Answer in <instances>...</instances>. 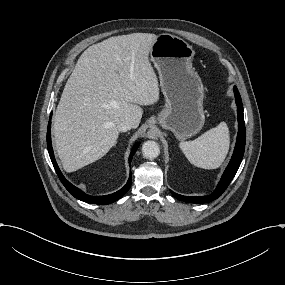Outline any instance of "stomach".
<instances>
[{
	"mask_svg": "<svg viewBox=\"0 0 285 285\" xmlns=\"http://www.w3.org/2000/svg\"><path fill=\"white\" fill-rule=\"evenodd\" d=\"M158 69L166 107L156 121L178 140L198 133L204 124V88L191 61L194 51L179 37L162 34L150 52Z\"/></svg>",
	"mask_w": 285,
	"mask_h": 285,
	"instance_id": "obj_1",
	"label": "stomach"
}]
</instances>
